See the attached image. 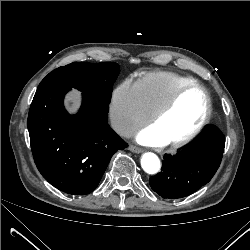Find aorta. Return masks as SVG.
Returning <instances> with one entry per match:
<instances>
[{
    "instance_id": "762f6f07",
    "label": "aorta",
    "mask_w": 250,
    "mask_h": 250,
    "mask_svg": "<svg viewBox=\"0 0 250 250\" xmlns=\"http://www.w3.org/2000/svg\"><path fill=\"white\" fill-rule=\"evenodd\" d=\"M141 166L148 174H155L160 169V160L154 153H144L141 158Z\"/></svg>"
}]
</instances>
